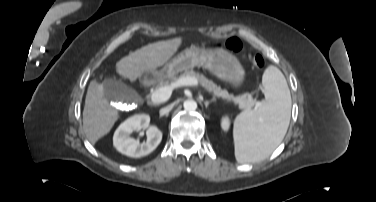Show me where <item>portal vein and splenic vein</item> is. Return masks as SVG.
Instances as JSON below:
<instances>
[{"label":"portal vein and splenic vein","instance_id":"18ae733b","mask_svg":"<svg viewBox=\"0 0 376 202\" xmlns=\"http://www.w3.org/2000/svg\"><path fill=\"white\" fill-rule=\"evenodd\" d=\"M179 86H195V87H198V81L195 78H192V77L181 78L176 83H174L172 86H165V87H161V88L155 90L151 94V100L154 103L165 102L170 98V96L172 94V90L175 87H179Z\"/></svg>","mask_w":376,"mask_h":202}]
</instances>
